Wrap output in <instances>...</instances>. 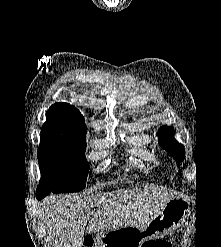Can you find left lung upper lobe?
<instances>
[{"label":"left lung upper lobe","instance_id":"obj_1","mask_svg":"<svg viewBox=\"0 0 221 247\" xmlns=\"http://www.w3.org/2000/svg\"><path fill=\"white\" fill-rule=\"evenodd\" d=\"M175 131L170 126H163L158 130L159 145L165 149L180 164L185 158L184 146L174 139Z\"/></svg>","mask_w":221,"mask_h":247}]
</instances>
